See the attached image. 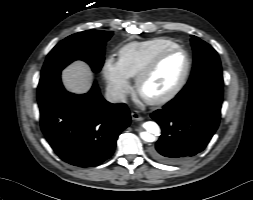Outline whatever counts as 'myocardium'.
I'll return each instance as SVG.
<instances>
[{"instance_id":"obj_1","label":"myocardium","mask_w":253,"mask_h":200,"mask_svg":"<svg viewBox=\"0 0 253 200\" xmlns=\"http://www.w3.org/2000/svg\"><path fill=\"white\" fill-rule=\"evenodd\" d=\"M174 52H181L185 55L186 58V67L185 70L179 79V81L176 83V85L167 93L155 97V98H148L145 97L142 93V86L145 80L154 72V70L157 68V66L160 64V62L169 54L174 53ZM191 66H192V61L189 53L187 52L186 49H184L181 46H175L171 48H167L165 50H162L159 52L136 76L135 80V87L137 93L144 99V101L150 105H162L170 100H172L184 87L190 71H191Z\"/></svg>"}]
</instances>
